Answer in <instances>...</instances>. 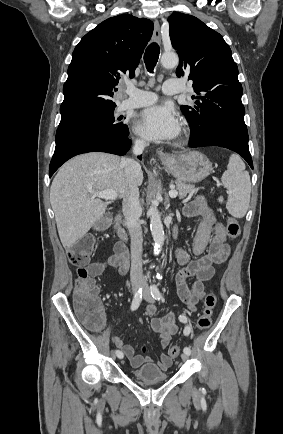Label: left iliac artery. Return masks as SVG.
<instances>
[{"mask_svg":"<svg viewBox=\"0 0 283 434\" xmlns=\"http://www.w3.org/2000/svg\"><path fill=\"white\" fill-rule=\"evenodd\" d=\"M150 292H151L152 297L155 300H160L162 298L161 293H160V291H159V289H158V287L156 285L153 284V285L150 286ZM179 320L182 323H187V317L184 316V315L179 316ZM190 331H191L190 327L186 326L185 329H184V334L188 335L190 333ZM183 352L186 353V354H188V355H190L191 354V349L189 347H185L183 349Z\"/></svg>","mask_w":283,"mask_h":434,"instance_id":"left-iliac-artery-1","label":"left iliac artery"}]
</instances>
